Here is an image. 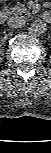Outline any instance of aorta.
<instances>
[{
	"label": "aorta",
	"instance_id": "1",
	"mask_svg": "<svg viewBox=\"0 0 51 153\" xmlns=\"http://www.w3.org/2000/svg\"><path fill=\"white\" fill-rule=\"evenodd\" d=\"M46 30L47 25L42 20H36L32 22L28 29L29 34L36 37L43 35L46 32Z\"/></svg>",
	"mask_w": 51,
	"mask_h": 153
}]
</instances>
